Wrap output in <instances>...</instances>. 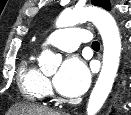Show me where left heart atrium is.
<instances>
[{
    "mask_svg": "<svg viewBox=\"0 0 131 115\" xmlns=\"http://www.w3.org/2000/svg\"><path fill=\"white\" fill-rule=\"evenodd\" d=\"M89 83L90 72L85 63L77 57L67 58L53 81L56 90L67 97L81 95Z\"/></svg>",
    "mask_w": 131,
    "mask_h": 115,
    "instance_id": "1",
    "label": "left heart atrium"
}]
</instances>
